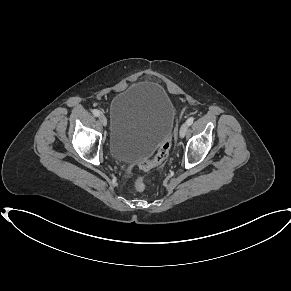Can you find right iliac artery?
<instances>
[{"instance_id":"1","label":"right iliac artery","mask_w":291,"mask_h":291,"mask_svg":"<svg viewBox=\"0 0 291 291\" xmlns=\"http://www.w3.org/2000/svg\"><path fill=\"white\" fill-rule=\"evenodd\" d=\"M93 114H94V116L98 117L100 115V112L98 110L94 109Z\"/></svg>"}]
</instances>
